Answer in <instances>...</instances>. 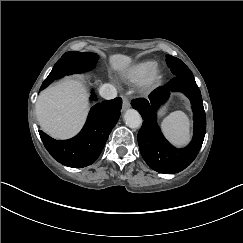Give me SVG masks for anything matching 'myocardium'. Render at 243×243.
I'll return each instance as SVG.
<instances>
[{"instance_id": "obj_1", "label": "myocardium", "mask_w": 243, "mask_h": 243, "mask_svg": "<svg viewBox=\"0 0 243 243\" xmlns=\"http://www.w3.org/2000/svg\"><path fill=\"white\" fill-rule=\"evenodd\" d=\"M161 75H160V70L159 68H156L152 74L145 80L143 84V88L146 91H152L155 88H157L160 85V80Z\"/></svg>"}]
</instances>
